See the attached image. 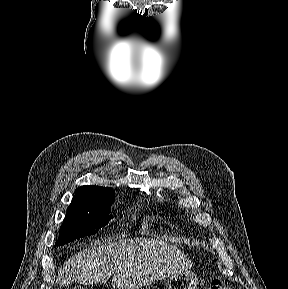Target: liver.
<instances>
[{
    "label": "liver",
    "mask_w": 288,
    "mask_h": 289,
    "mask_svg": "<svg viewBox=\"0 0 288 289\" xmlns=\"http://www.w3.org/2000/svg\"><path fill=\"white\" fill-rule=\"evenodd\" d=\"M192 265L179 248L163 240L97 241L69 259L59 270L56 282L104 283L114 274V288L140 289Z\"/></svg>",
    "instance_id": "1"
}]
</instances>
